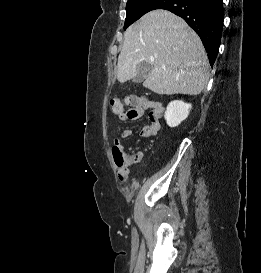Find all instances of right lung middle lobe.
I'll list each match as a JSON object with an SVG mask.
<instances>
[{
    "label": "right lung middle lobe",
    "mask_w": 261,
    "mask_h": 273,
    "mask_svg": "<svg viewBox=\"0 0 261 273\" xmlns=\"http://www.w3.org/2000/svg\"><path fill=\"white\" fill-rule=\"evenodd\" d=\"M155 1V2H154ZM160 0H128L126 5V20L124 29H126L134 21L138 20L142 15L151 11L150 7Z\"/></svg>",
    "instance_id": "dd1d6c3e"
}]
</instances>
